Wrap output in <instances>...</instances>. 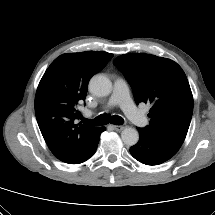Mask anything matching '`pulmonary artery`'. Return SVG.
<instances>
[{
  "mask_svg": "<svg viewBox=\"0 0 215 215\" xmlns=\"http://www.w3.org/2000/svg\"><path fill=\"white\" fill-rule=\"evenodd\" d=\"M120 106L127 117L137 126L147 125L146 116L136 108L129 97V91L126 82L123 79H117L114 82L113 92L108 100L107 107ZM91 115L90 111L86 112Z\"/></svg>",
  "mask_w": 215,
  "mask_h": 215,
  "instance_id": "pulmonary-artery-1",
  "label": "pulmonary artery"
}]
</instances>
